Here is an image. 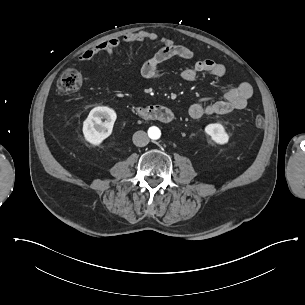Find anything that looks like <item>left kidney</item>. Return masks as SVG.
<instances>
[{
	"mask_svg": "<svg viewBox=\"0 0 305 305\" xmlns=\"http://www.w3.org/2000/svg\"><path fill=\"white\" fill-rule=\"evenodd\" d=\"M205 132L210 135L211 139L216 143L225 144L229 140V136L221 124H209L205 128Z\"/></svg>",
	"mask_w": 305,
	"mask_h": 305,
	"instance_id": "5707ae66",
	"label": "left kidney"
}]
</instances>
